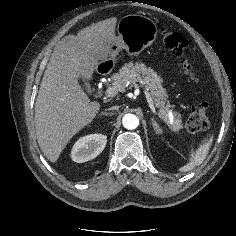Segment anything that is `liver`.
Masks as SVG:
<instances>
[{
  "label": "liver",
  "mask_w": 236,
  "mask_h": 236,
  "mask_svg": "<svg viewBox=\"0 0 236 236\" xmlns=\"http://www.w3.org/2000/svg\"><path fill=\"white\" fill-rule=\"evenodd\" d=\"M116 22L113 17L92 24L76 36H65L54 48L35 103L37 141L52 163L100 110V103L90 102L78 78L89 80L99 63L108 60Z\"/></svg>",
  "instance_id": "liver-1"
}]
</instances>
